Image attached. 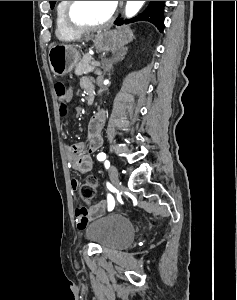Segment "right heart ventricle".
I'll return each mask as SVG.
<instances>
[{"label":"right heart ventricle","mask_w":237,"mask_h":300,"mask_svg":"<svg viewBox=\"0 0 237 300\" xmlns=\"http://www.w3.org/2000/svg\"><path fill=\"white\" fill-rule=\"evenodd\" d=\"M68 1H58L56 7V33L60 39H72L78 35L77 32L72 31L65 21V8Z\"/></svg>","instance_id":"obj_1"}]
</instances>
